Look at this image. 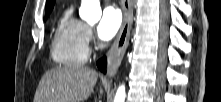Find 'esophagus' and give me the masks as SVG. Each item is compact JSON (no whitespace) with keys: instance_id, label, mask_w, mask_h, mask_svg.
I'll use <instances>...</instances> for the list:
<instances>
[{"instance_id":"34e87169","label":"esophagus","mask_w":221,"mask_h":102,"mask_svg":"<svg viewBox=\"0 0 221 102\" xmlns=\"http://www.w3.org/2000/svg\"><path fill=\"white\" fill-rule=\"evenodd\" d=\"M122 3L124 9L123 24L116 40L114 41L108 53L107 74L109 76L113 75L117 71L129 44L133 17L132 0H123Z\"/></svg>"}]
</instances>
